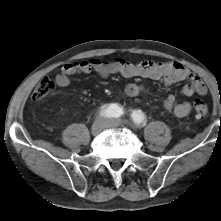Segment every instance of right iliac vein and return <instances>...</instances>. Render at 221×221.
Here are the masks:
<instances>
[{"label":"right iliac vein","mask_w":221,"mask_h":221,"mask_svg":"<svg viewBox=\"0 0 221 221\" xmlns=\"http://www.w3.org/2000/svg\"><path fill=\"white\" fill-rule=\"evenodd\" d=\"M108 120L105 118H97L91 127V133L93 135H98L106 126H107Z\"/></svg>","instance_id":"obj_1"}]
</instances>
